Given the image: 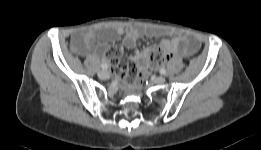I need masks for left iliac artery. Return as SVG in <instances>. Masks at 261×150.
I'll return each instance as SVG.
<instances>
[{
    "label": "left iliac artery",
    "mask_w": 261,
    "mask_h": 150,
    "mask_svg": "<svg viewBox=\"0 0 261 150\" xmlns=\"http://www.w3.org/2000/svg\"><path fill=\"white\" fill-rule=\"evenodd\" d=\"M160 73H161L162 75H165V74H166V69L162 68V69L160 70Z\"/></svg>",
    "instance_id": "44dca946"
}]
</instances>
